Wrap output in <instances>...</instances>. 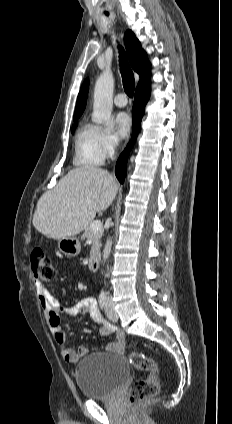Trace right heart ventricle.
Returning <instances> with one entry per match:
<instances>
[{"mask_svg":"<svg viewBox=\"0 0 232 424\" xmlns=\"http://www.w3.org/2000/svg\"><path fill=\"white\" fill-rule=\"evenodd\" d=\"M101 130L89 122H83L76 131L73 163L78 167L102 165L104 154L100 147Z\"/></svg>","mask_w":232,"mask_h":424,"instance_id":"obj_1","label":"right heart ventricle"}]
</instances>
